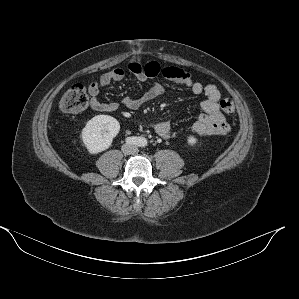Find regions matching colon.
Instances as JSON below:
<instances>
[{
    "mask_svg": "<svg viewBox=\"0 0 299 299\" xmlns=\"http://www.w3.org/2000/svg\"><path fill=\"white\" fill-rule=\"evenodd\" d=\"M89 104L87 88L80 83H74L63 95L60 101V110L65 114H76L83 111ZM220 107L227 115L235 111V103L231 97L224 98Z\"/></svg>",
    "mask_w": 299,
    "mask_h": 299,
    "instance_id": "1",
    "label": "colon"
}]
</instances>
